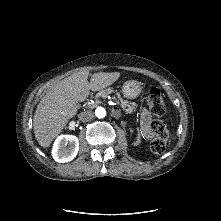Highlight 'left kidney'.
I'll use <instances>...</instances> for the list:
<instances>
[{"mask_svg":"<svg viewBox=\"0 0 221 221\" xmlns=\"http://www.w3.org/2000/svg\"><path fill=\"white\" fill-rule=\"evenodd\" d=\"M139 143H140V138L137 139V144H139Z\"/></svg>","mask_w":221,"mask_h":221,"instance_id":"5707ae66","label":"left kidney"}]
</instances>
